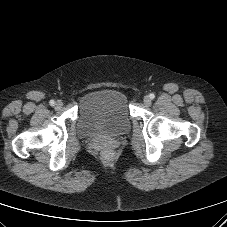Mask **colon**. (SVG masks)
I'll return each mask as SVG.
<instances>
[{"mask_svg":"<svg viewBox=\"0 0 227 227\" xmlns=\"http://www.w3.org/2000/svg\"><path fill=\"white\" fill-rule=\"evenodd\" d=\"M103 157L106 160H111L113 157V153L110 150H106L103 152Z\"/></svg>","mask_w":227,"mask_h":227,"instance_id":"5ec220e1","label":"colon"}]
</instances>
